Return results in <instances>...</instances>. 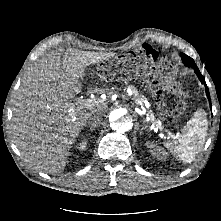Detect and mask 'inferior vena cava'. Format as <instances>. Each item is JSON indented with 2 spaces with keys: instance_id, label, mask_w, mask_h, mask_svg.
I'll return each instance as SVG.
<instances>
[{
  "instance_id": "inferior-vena-cava-1",
  "label": "inferior vena cava",
  "mask_w": 221,
  "mask_h": 221,
  "mask_svg": "<svg viewBox=\"0 0 221 221\" xmlns=\"http://www.w3.org/2000/svg\"><path fill=\"white\" fill-rule=\"evenodd\" d=\"M102 117L103 116L100 113H95L90 117L88 124L92 126H97L101 123Z\"/></svg>"
}]
</instances>
